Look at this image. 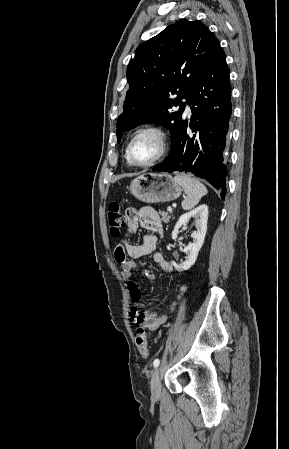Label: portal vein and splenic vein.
Listing matches in <instances>:
<instances>
[{
	"mask_svg": "<svg viewBox=\"0 0 289 449\" xmlns=\"http://www.w3.org/2000/svg\"><path fill=\"white\" fill-rule=\"evenodd\" d=\"M167 210H168L169 212H171V211H172V208H171V207H168Z\"/></svg>",
	"mask_w": 289,
	"mask_h": 449,
	"instance_id": "portal-vein-and-splenic-vein-1",
	"label": "portal vein and splenic vein"
}]
</instances>
